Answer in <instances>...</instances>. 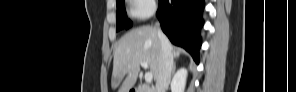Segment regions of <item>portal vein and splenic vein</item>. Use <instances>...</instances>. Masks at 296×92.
<instances>
[{"label": "portal vein and splenic vein", "mask_w": 296, "mask_h": 92, "mask_svg": "<svg viewBox=\"0 0 296 92\" xmlns=\"http://www.w3.org/2000/svg\"><path fill=\"white\" fill-rule=\"evenodd\" d=\"M140 65L144 68L147 69L148 68V64L146 62H141ZM153 79V75L151 72H146L145 73V82L146 83H150Z\"/></svg>", "instance_id": "obj_1"}]
</instances>
